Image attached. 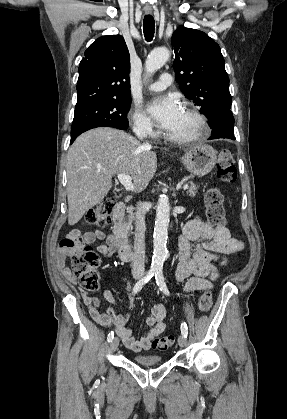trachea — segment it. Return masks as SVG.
I'll return each mask as SVG.
<instances>
[{
  "label": "trachea",
  "instance_id": "1",
  "mask_svg": "<svg viewBox=\"0 0 287 419\" xmlns=\"http://www.w3.org/2000/svg\"><path fill=\"white\" fill-rule=\"evenodd\" d=\"M155 21L151 15H146L143 21V32L145 39L151 41L154 37Z\"/></svg>",
  "mask_w": 287,
  "mask_h": 419
}]
</instances>
